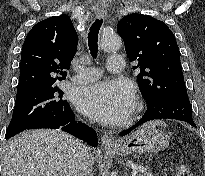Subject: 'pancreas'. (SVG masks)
<instances>
[{"label":"pancreas","instance_id":"obj_1","mask_svg":"<svg viewBox=\"0 0 205 176\" xmlns=\"http://www.w3.org/2000/svg\"><path fill=\"white\" fill-rule=\"evenodd\" d=\"M139 168L141 169V173L139 174V176H153V174L150 173L148 167L140 166Z\"/></svg>","mask_w":205,"mask_h":176}]
</instances>
